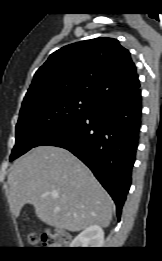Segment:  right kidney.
Listing matches in <instances>:
<instances>
[{"instance_id":"right-kidney-1","label":"right kidney","mask_w":162,"mask_h":261,"mask_svg":"<svg viewBox=\"0 0 162 261\" xmlns=\"http://www.w3.org/2000/svg\"><path fill=\"white\" fill-rule=\"evenodd\" d=\"M104 243V231L98 225H93L82 231L74 240H72L71 248H100Z\"/></svg>"}]
</instances>
